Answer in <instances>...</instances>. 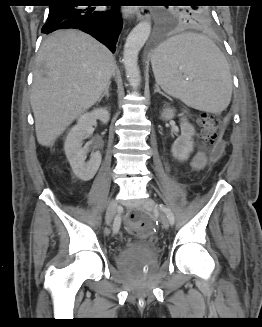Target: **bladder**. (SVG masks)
I'll list each match as a JSON object with an SVG mask.
<instances>
[{"label": "bladder", "mask_w": 262, "mask_h": 327, "mask_svg": "<svg viewBox=\"0 0 262 327\" xmlns=\"http://www.w3.org/2000/svg\"><path fill=\"white\" fill-rule=\"evenodd\" d=\"M146 246H147V243L143 242V241L134 242L130 245L125 246L119 254V261L122 262L125 258L133 257L135 254L140 252ZM150 251L154 252L153 249H151V248H150Z\"/></svg>", "instance_id": "31cf9c89"}]
</instances>
